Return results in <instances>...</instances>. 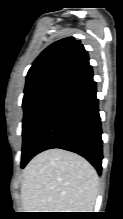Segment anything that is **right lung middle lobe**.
Listing matches in <instances>:
<instances>
[{
    "instance_id": "1",
    "label": "right lung middle lobe",
    "mask_w": 123,
    "mask_h": 219,
    "mask_svg": "<svg viewBox=\"0 0 123 219\" xmlns=\"http://www.w3.org/2000/svg\"><path fill=\"white\" fill-rule=\"evenodd\" d=\"M69 82V80H54L24 92L22 104L24 109L22 167L31 159L32 145L42 124Z\"/></svg>"
}]
</instances>
